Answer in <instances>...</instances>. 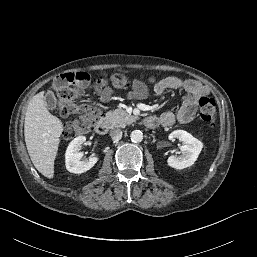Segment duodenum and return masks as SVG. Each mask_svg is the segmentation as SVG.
I'll list each match as a JSON object with an SVG mask.
<instances>
[{"label":"duodenum","instance_id":"1","mask_svg":"<svg viewBox=\"0 0 257 257\" xmlns=\"http://www.w3.org/2000/svg\"><path fill=\"white\" fill-rule=\"evenodd\" d=\"M144 125L148 128H155L158 126V120L155 117H147L144 119ZM108 130L109 123L105 119H101L95 127V131L100 135L107 133Z\"/></svg>","mask_w":257,"mask_h":257}]
</instances>
